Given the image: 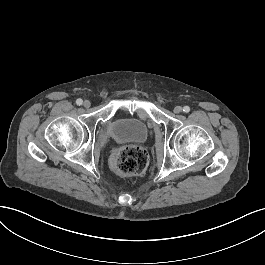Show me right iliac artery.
Instances as JSON below:
<instances>
[{
	"mask_svg": "<svg viewBox=\"0 0 265 265\" xmlns=\"http://www.w3.org/2000/svg\"><path fill=\"white\" fill-rule=\"evenodd\" d=\"M82 103H83L82 99H77V100H76V104H77V105L80 106V105H82Z\"/></svg>",
	"mask_w": 265,
	"mask_h": 265,
	"instance_id": "right-iliac-artery-1",
	"label": "right iliac artery"
}]
</instances>
